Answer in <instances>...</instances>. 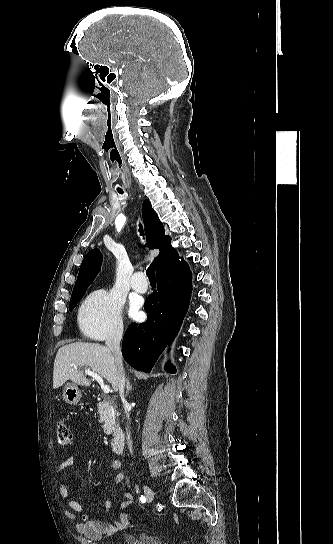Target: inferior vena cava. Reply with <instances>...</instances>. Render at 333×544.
I'll return each mask as SVG.
<instances>
[{
	"label": "inferior vena cava",
	"instance_id": "602c4592",
	"mask_svg": "<svg viewBox=\"0 0 333 544\" xmlns=\"http://www.w3.org/2000/svg\"><path fill=\"white\" fill-rule=\"evenodd\" d=\"M123 335V329L118 328L113 330L111 333H109L107 339H106V345L109 347V349L112 351L115 359V364L117 367V379H118V388H119V394L123 403V407L126 413L127 420H130L129 418V412H128V402L125 399L124 396V385H125V372L123 368L122 363V354H121V348H120V342ZM126 440L127 445L130 450V453H133V443L131 439V432L129 426L126 427Z\"/></svg>",
	"mask_w": 333,
	"mask_h": 544
}]
</instances>
